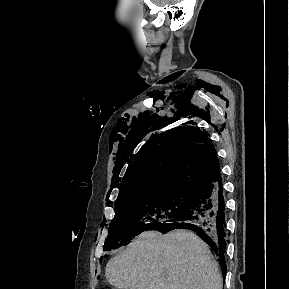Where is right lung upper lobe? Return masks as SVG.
I'll use <instances>...</instances> for the list:
<instances>
[{"label": "right lung upper lobe", "instance_id": "cb5924a9", "mask_svg": "<svg viewBox=\"0 0 289 289\" xmlns=\"http://www.w3.org/2000/svg\"><path fill=\"white\" fill-rule=\"evenodd\" d=\"M220 177L208 133L191 125L180 126L142 146L121 182L116 203L167 191L198 192Z\"/></svg>", "mask_w": 289, "mask_h": 289}]
</instances>
